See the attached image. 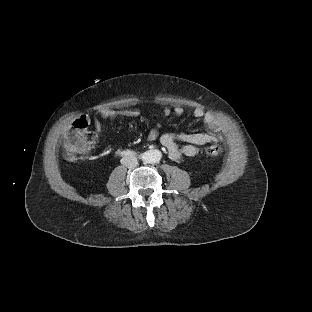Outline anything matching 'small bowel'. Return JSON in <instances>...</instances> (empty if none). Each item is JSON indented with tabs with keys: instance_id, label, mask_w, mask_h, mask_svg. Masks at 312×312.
Segmentation results:
<instances>
[{
	"instance_id": "1",
	"label": "small bowel",
	"mask_w": 312,
	"mask_h": 312,
	"mask_svg": "<svg viewBox=\"0 0 312 312\" xmlns=\"http://www.w3.org/2000/svg\"><path fill=\"white\" fill-rule=\"evenodd\" d=\"M171 113H174L177 116H181L185 113V109L180 105H177L174 108H164V116H169ZM192 113L195 118L203 121V123L207 127V131L197 133H161L159 126L156 123H152L148 128L147 140L150 142L159 140V142L165 149L168 157L173 160L180 159L184 156L191 157L195 155L197 152V146L218 142L221 132V124L218 118L211 112H207L201 107L193 108ZM114 115L138 118L140 116V111L137 109L104 111L99 115L98 118H96V128L100 130L101 118ZM178 143H183L184 145L182 147H179Z\"/></svg>"
}]
</instances>
